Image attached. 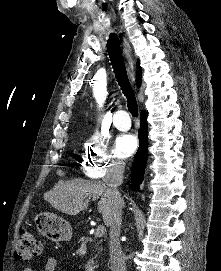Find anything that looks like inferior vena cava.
<instances>
[{
	"label": "inferior vena cava",
	"instance_id": "602c4592",
	"mask_svg": "<svg viewBox=\"0 0 221 271\" xmlns=\"http://www.w3.org/2000/svg\"><path fill=\"white\" fill-rule=\"evenodd\" d=\"M125 163H114L110 171L111 177H105L103 179L106 187V193L112 197L115 201L113 215L109 223V261L112 271H127L126 257L121 249V241H119L121 225H122V207L119 203L121 199V193L118 189V185H121L123 179L120 177L124 173Z\"/></svg>",
	"mask_w": 221,
	"mask_h": 271
}]
</instances>
